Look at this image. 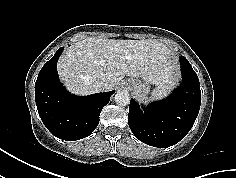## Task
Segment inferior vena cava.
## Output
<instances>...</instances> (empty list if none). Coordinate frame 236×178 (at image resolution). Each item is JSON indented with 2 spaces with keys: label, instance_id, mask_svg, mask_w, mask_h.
Wrapping results in <instances>:
<instances>
[{
  "label": "inferior vena cava",
  "instance_id": "obj_1",
  "mask_svg": "<svg viewBox=\"0 0 236 178\" xmlns=\"http://www.w3.org/2000/svg\"><path fill=\"white\" fill-rule=\"evenodd\" d=\"M107 80L105 79H100L95 82V87L98 91H103L107 88Z\"/></svg>",
  "mask_w": 236,
  "mask_h": 178
}]
</instances>
